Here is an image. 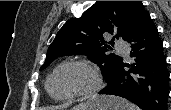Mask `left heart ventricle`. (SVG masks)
<instances>
[{
	"instance_id": "left-heart-ventricle-1",
	"label": "left heart ventricle",
	"mask_w": 171,
	"mask_h": 110,
	"mask_svg": "<svg viewBox=\"0 0 171 110\" xmlns=\"http://www.w3.org/2000/svg\"><path fill=\"white\" fill-rule=\"evenodd\" d=\"M91 74L79 66L61 69L52 79L50 89L53 95L64 97L73 92L88 88L92 84Z\"/></svg>"
}]
</instances>
